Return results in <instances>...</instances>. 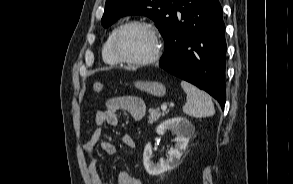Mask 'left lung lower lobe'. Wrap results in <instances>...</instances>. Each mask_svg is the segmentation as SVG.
<instances>
[{"instance_id": "1", "label": "left lung lower lobe", "mask_w": 293, "mask_h": 184, "mask_svg": "<svg viewBox=\"0 0 293 184\" xmlns=\"http://www.w3.org/2000/svg\"><path fill=\"white\" fill-rule=\"evenodd\" d=\"M159 66L225 105V26L219 0H178Z\"/></svg>"}]
</instances>
